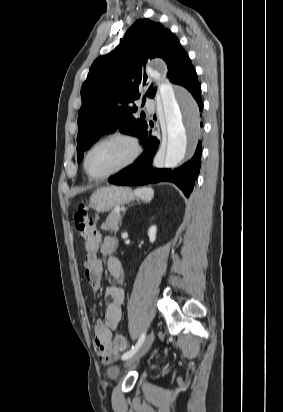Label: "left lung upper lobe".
Masks as SVG:
<instances>
[{
    "label": "left lung upper lobe",
    "mask_w": 283,
    "mask_h": 412,
    "mask_svg": "<svg viewBox=\"0 0 283 412\" xmlns=\"http://www.w3.org/2000/svg\"><path fill=\"white\" fill-rule=\"evenodd\" d=\"M160 57L168 67V77L177 83L193 68L176 36L160 23L137 20L124 40L112 52L97 58L81 88L82 107L78 114L77 160L101 134L117 128L138 136L148 124L132 115V103L140 97L147 76L142 67L148 58ZM149 87L146 96L153 98L156 88Z\"/></svg>",
    "instance_id": "left-lung-upper-lobe-1"
}]
</instances>
